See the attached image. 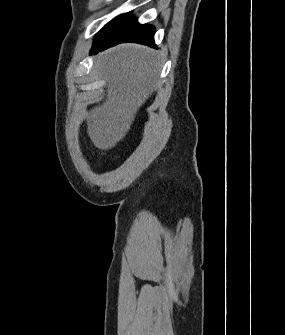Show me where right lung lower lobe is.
Masks as SVG:
<instances>
[{
  "instance_id": "1",
  "label": "right lung lower lobe",
  "mask_w": 285,
  "mask_h": 335,
  "mask_svg": "<svg viewBox=\"0 0 285 335\" xmlns=\"http://www.w3.org/2000/svg\"><path fill=\"white\" fill-rule=\"evenodd\" d=\"M155 29L139 24L131 13L122 14L106 24L96 35L91 53L95 54L108 47L124 42H136L156 47Z\"/></svg>"
}]
</instances>
